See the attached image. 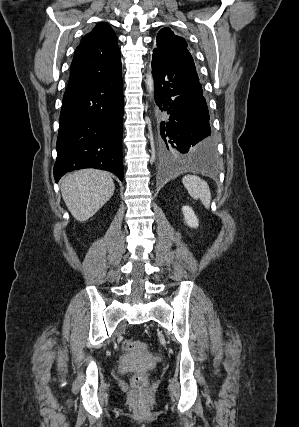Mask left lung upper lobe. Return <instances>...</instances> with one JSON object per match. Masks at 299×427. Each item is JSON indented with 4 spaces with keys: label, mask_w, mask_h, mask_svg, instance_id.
<instances>
[{
    "label": "left lung upper lobe",
    "mask_w": 299,
    "mask_h": 427,
    "mask_svg": "<svg viewBox=\"0 0 299 427\" xmlns=\"http://www.w3.org/2000/svg\"><path fill=\"white\" fill-rule=\"evenodd\" d=\"M176 45H187L184 38L175 35L170 28H163L158 32L157 48H167ZM193 75L199 80L196 68L194 67Z\"/></svg>",
    "instance_id": "5c2ea615"
}]
</instances>
